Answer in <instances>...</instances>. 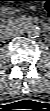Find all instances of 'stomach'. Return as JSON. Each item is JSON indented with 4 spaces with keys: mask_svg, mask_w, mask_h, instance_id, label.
Returning a JSON list of instances; mask_svg holds the SVG:
<instances>
[{
    "mask_svg": "<svg viewBox=\"0 0 50 111\" xmlns=\"http://www.w3.org/2000/svg\"><path fill=\"white\" fill-rule=\"evenodd\" d=\"M2 11H4L5 13H8V14H11V13L15 12L16 9L13 7H2Z\"/></svg>",
    "mask_w": 50,
    "mask_h": 111,
    "instance_id": "stomach-1",
    "label": "stomach"
}]
</instances>
